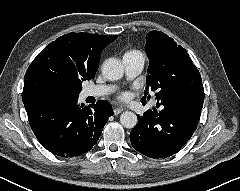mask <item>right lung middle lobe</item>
I'll return each instance as SVG.
<instances>
[{
	"mask_svg": "<svg viewBox=\"0 0 240 191\" xmlns=\"http://www.w3.org/2000/svg\"><path fill=\"white\" fill-rule=\"evenodd\" d=\"M81 90L74 92L73 94L55 93L51 97H78Z\"/></svg>",
	"mask_w": 240,
	"mask_h": 191,
	"instance_id": "1",
	"label": "right lung middle lobe"
}]
</instances>
